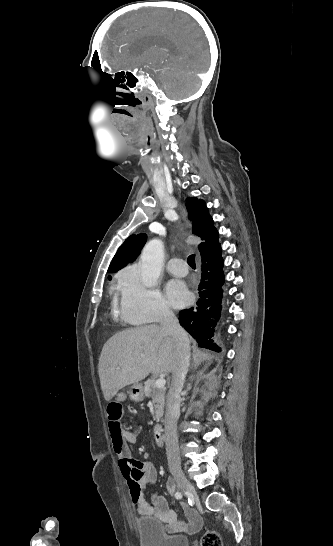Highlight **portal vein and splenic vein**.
I'll return each instance as SVG.
<instances>
[{"instance_id":"obj_1","label":"portal vein and splenic vein","mask_w":333,"mask_h":546,"mask_svg":"<svg viewBox=\"0 0 333 546\" xmlns=\"http://www.w3.org/2000/svg\"><path fill=\"white\" fill-rule=\"evenodd\" d=\"M166 384V380L164 378H159L155 381V386L158 388H163Z\"/></svg>"}]
</instances>
